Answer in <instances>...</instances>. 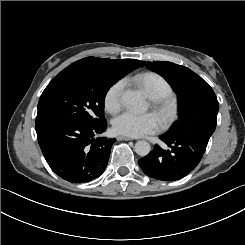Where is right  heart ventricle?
I'll use <instances>...</instances> for the list:
<instances>
[{"label":"right heart ventricle","mask_w":245,"mask_h":245,"mask_svg":"<svg viewBox=\"0 0 245 245\" xmlns=\"http://www.w3.org/2000/svg\"><path fill=\"white\" fill-rule=\"evenodd\" d=\"M132 80L151 98L174 94L169 82L157 73L138 72L133 75Z\"/></svg>","instance_id":"e07e8e85"}]
</instances>
